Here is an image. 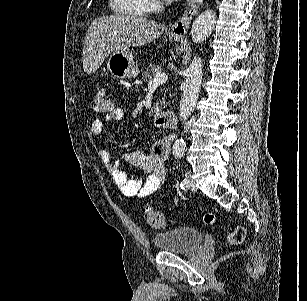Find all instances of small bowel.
I'll return each mask as SVG.
<instances>
[{"mask_svg": "<svg viewBox=\"0 0 307 301\" xmlns=\"http://www.w3.org/2000/svg\"><path fill=\"white\" fill-rule=\"evenodd\" d=\"M123 115L122 109L113 108L104 119H95L90 127V137L92 139L99 138L105 122L119 121ZM169 147L167 139H160L155 143L152 153L149 155L141 151H131L125 154V160L142 170L146 174L145 178H137L123 171L107 151L99 150L98 154L123 195L146 198L160 189L165 182V161L169 154Z\"/></svg>", "mask_w": 307, "mask_h": 301, "instance_id": "c3829d8e", "label": "small bowel"}]
</instances>
